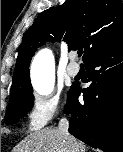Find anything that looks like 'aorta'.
Wrapping results in <instances>:
<instances>
[{
	"instance_id": "aorta-1",
	"label": "aorta",
	"mask_w": 123,
	"mask_h": 152,
	"mask_svg": "<svg viewBox=\"0 0 123 152\" xmlns=\"http://www.w3.org/2000/svg\"><path fill=\"white\" fill-rule=\"evenodd\" d=\"M31 79L39 95L51 94L55 80V61L51 50L42 49L35 55L31 65Z\"/></svg>"
}]
</instances>
